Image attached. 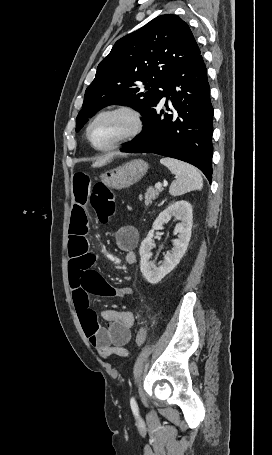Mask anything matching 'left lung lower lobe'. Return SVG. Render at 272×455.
<instances>
[{
	"label": "left lung lower lobe",
	"instance_id": "0a47b994",
	"mask_svg": "<svg viewBox=\"0 0 272 455\" xmlns=\"http://www.w3.org/2000/svg\"><path fill=\"white\" fill-rule=\"evenodd\" d=\"M164 96L170 98L175 113H165L158 103L144 120L142 133L121 151L155 153L188 162L211 182L213 107L201 54L172 74ZM165 107L170 111L167 103Z\"/></svg>",
	"mask_w": 272,
	"mask_h": 455
}]
</instances>
